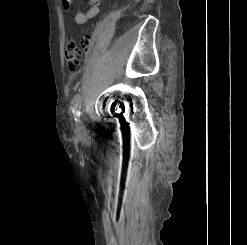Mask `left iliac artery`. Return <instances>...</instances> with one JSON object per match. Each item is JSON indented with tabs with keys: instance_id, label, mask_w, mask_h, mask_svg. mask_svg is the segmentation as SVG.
I'll list each match as a JSON object with an SVG mask.
<instances>
[{
	"instance_id": "obj_1",
	"label": "left iliac artery",
	"mask_w": 247,
	"mask_h": 245,
	"mask_svg": "<svg viewBox=\"0 0 247 245\" xmlns=\"http://www.w3.org/2000/svg\"><path fill=\"white\" fill-rule=\"evenodd\" d=\"M81 104H82V97L81 94H76L72 101V111L75 117V120H77L80 117L81 114Z\"/></svg>"
}]
</instances>
